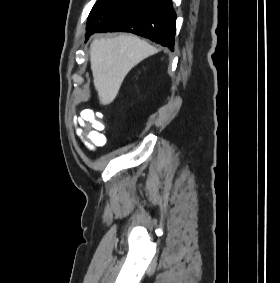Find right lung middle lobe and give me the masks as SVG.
<instances>
[{
	"label": "right lung middle lobe",
	"mask_w": 280,
	"mask_h": 283,
	"mask_svg": "<svg viewBox=\"0 0 280 283\" xmlns=\"http://www.w3.org/2000/svg\"><path fill=\"white\" fill-rule=\"evenodd\" d=\"M137 1L138 0H98L89 15L86 37L92 34L111 16Z\"/></svg>",
	"instance_id": "1"
}]
</instances>
